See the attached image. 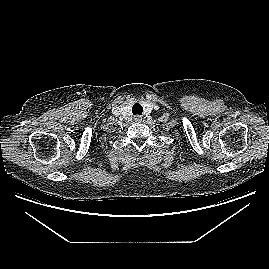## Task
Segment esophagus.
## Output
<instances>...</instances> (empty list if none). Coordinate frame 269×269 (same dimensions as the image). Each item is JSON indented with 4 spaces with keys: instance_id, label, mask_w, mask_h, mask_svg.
<instances>
[{
    "instance_id": "obj_1",
    "label": "esophagus",
    "mask_w": 269,
    "mask_h": 269,
    "mask_svg": "<svg viewBox=\"0 0 269 269\" xmlns=\"http://www.w3.org/2000/svg\"><path fill=\"white\" fill-rule=\"evenodd\" d=\"M134 120L136 121V122H140L141 120H142V118H141V116H135L134 117Z\"/></svg>"
}]
</instances>
